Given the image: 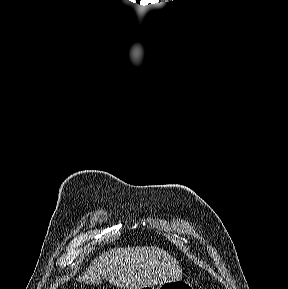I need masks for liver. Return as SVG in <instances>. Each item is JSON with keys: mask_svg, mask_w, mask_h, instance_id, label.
I'll use <instances>...</instances> for the list:
<instances>
[{"mask_svg": "<svg viewBox=\"0 0 288 289\" xmlns=\"http://www.w3.org/2000/svg\"><path fill=\"white\" fill-rule=\"evenodd\" d=\"M181 278L182 269L173 256L163 249L145 246L104 252L77 280L100 284L107 279L117 288L142 289Z\"/></svg>", "mask_w": 288, "mask_h": 289, "instance_id": "1", "label": "liver"}]
</instances>
